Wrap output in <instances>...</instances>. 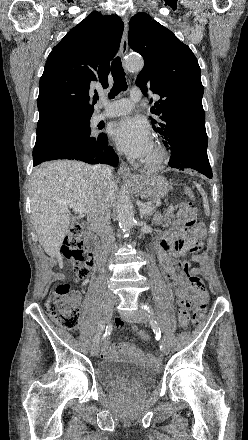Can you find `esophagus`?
<instances>
[{
  "label": "esophagus",
  "mask_w": 248,
  "mask_h": 440,
  "mask_svg": "<svg viewBox=\"0 0 248 440\" xmlns=\"http://www.w3.org/2000/svg\"><path fill=\"white\" fill-rule=\"evenodd\" d=\"M123 22H124V31H123L122 41H121V48H120V56L122 58L128 52V30H129L128 19L126 17L123 19ZM118 173L122 176H125V177L131 176L130 168L126 162L120 163Z\"/></svg>",
  "instance_id": "obj_1"
}]
</instances>
